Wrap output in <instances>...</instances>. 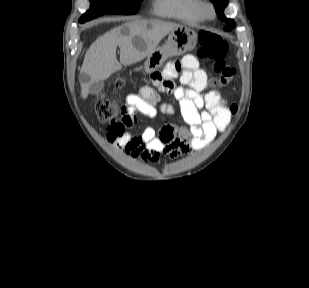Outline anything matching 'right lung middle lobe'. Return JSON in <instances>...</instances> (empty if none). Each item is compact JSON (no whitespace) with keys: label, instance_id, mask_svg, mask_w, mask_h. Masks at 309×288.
I'll return each instance as SVG.
<instances>
[{"label":"right lung middle lobe","instance_id":"dd1d6c3e","mask_svg":"<svg viewBox=\"0 0 309 288\" xmlns=\"http://www.w3.org/2000/svg\"><path fill=\"white\" fill-rule=\"evenodd\" d=\"M91 8L82 15L79 22L84 23L103 14H135L142 0H90Z\"/></svg>","mask_w":309,"mask_h":288}]
</instances>
